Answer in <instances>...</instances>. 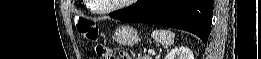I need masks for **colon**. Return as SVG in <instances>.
<instances>
[{
	"mask_svg": "<svg viewBox=\"0 0 261 59\" xmlns=\"http://www.w3.org/2000/svg\"><path fill=\"white\" fill-rule=\"evenodd\" d=\"M75 25L79 32L91 42L99 38V27L93 20L76 19ZM95 51L101 59H115L116 55L113 49L103 44H96ZM122 52L120 53L121 57Z\"/></svg>",
	"mask_w": 261,
	"mask_h": 59,
	"instance_id": "colon-1",
	"label": "colon"
}]
</instances>
